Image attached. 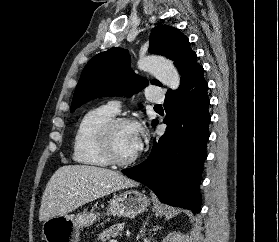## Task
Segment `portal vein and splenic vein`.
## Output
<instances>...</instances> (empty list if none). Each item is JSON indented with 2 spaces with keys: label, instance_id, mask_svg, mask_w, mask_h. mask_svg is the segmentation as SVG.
<instances>
[{
  "label": "portal vein and splenic vein",
  "instance_id": "18ae733b",
  "mask_svg": "<svg viewBox=\"0 0 279 242\" xmlns=\"http://www.w3.org/2000/svg\"><path fill=\"white\" fill-rule=\"evenodd\" d=\"M111 242H116L115 240H112Z\"/></svg>",
  "mask_w": 279,
  "mask_h": 242
}]
</instances>
